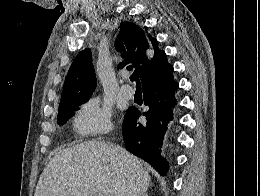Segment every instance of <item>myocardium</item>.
<instances>
[{
	"label": "myocardium",
	"mask_w": 260,
	"mask_h": 196,
	"mask_svg": "<svg viewBox=\"0 0 260 196\" xmlns=\"http://www.w3.org/2000/svg\"><path fill=\"white\" fill-rule=\"evenodd\" d=\"M92 192H96L95 190H90ZM50 192H55V190H50Z\"/></svg>",
	"instance_id": "1"
}]
</instances>
